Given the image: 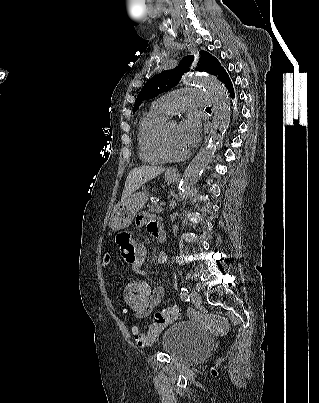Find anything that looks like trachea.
Segmentation results:
<instances>
[{
    "label": "trachea",
    "mask_w": 319,
    "mask_h": 403,
    "mask_svg": "<svg viewBox=\"0 0 319 403\" xmlns=\"http://www.w3.org/2000/svg\"><path fill=\"white\" fill-rule=\"evenodd\" d=\"M206 109L211 110V108H210V107H207Z\"/></svg>",
    "instance_id": "obj_1"
}]
</instances>
